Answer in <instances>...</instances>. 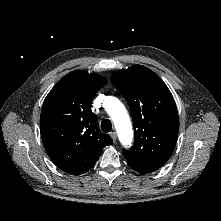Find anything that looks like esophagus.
I'll return each instance as SVG.
<instances>
[{
	"mask_svg": "<svg viewBox=\"0 0 221 221\" xmlns=\"http://www.w3.org/2000/svg\"><path fill=\"white\" fill-rule=\"evenodd\" d=\"M110 136L112 137V139H113V141L115 142L116 140H117V134H116V132H111L110 133Z\"/></svg>",
	"mask_w": 221,
	"mask_h": 221,
	"instance_id": "1",
	"label": "esophagus"
}]
</instances>
